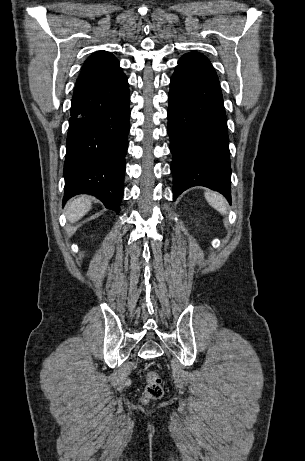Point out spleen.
I'll return each mask as SVG.
<instances>
[{
    "label": "spleen",
    "instance_id": "3e777b00",
    "mask_svg": "<svg viewBox=\"0 0 305 461\" xmlns=\"http://www.w3.org/2000/svg\"><path fill=\"white\" fill-rule=\"evenodd\" d=\"M207 202L221 214L227 213V202L225 198L214 191L208 190L204 193Z\"/></svg>",
    "mask_w": 305,
    "mask_h": 461
}]
</instances>
